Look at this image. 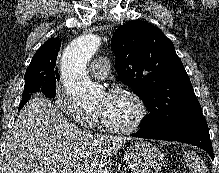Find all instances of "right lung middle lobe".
Segmentation results:
<instances>
[{"label":"right lung middle lobe","instance_id":"1","mask_svg":"<svg viewBox=\"0 0 219 173\" xmlns=\"http://www.w3.org/2000/svg\"><path fill=\"white\" fill-rule=\"evenodd\" d=\"M25 85L22 97L31 95L38 91L46 97L55 96L56 81L58 75L53 70H46L43 67L28 66L24 75Z\"/></svg>","mask_w":219,"mask_h":173}]
</instances>
